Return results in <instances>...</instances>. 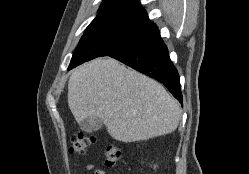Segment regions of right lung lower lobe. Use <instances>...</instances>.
I'll use <instances>...</instances> for the list:
<instances>
[{
    "instance_id": "right-lung-lower-lobe-1",
    "label": "right lung lower lobe",
    "mask_w": 249,
    "mask_h": 174,
    "mask_svg": "<svg viewBox=\"0 0 249 174\" xmlns=\"http://www.w3.org/2000/svg\"><path fill=\"white\" fill-rule=\"evenodd\" d=\"M110 57L163 83L182 102L179 74L169 58L157 26L151 28L144 42Z\"/></svg>"
}]
</instances>
